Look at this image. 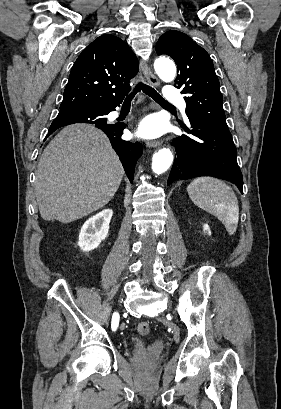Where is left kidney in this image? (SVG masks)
<instances>
[{"mask_svg":"<svg viewBox=\"0 0 281 409\" xmlns=\"http://www.w3.org/2000/svg\"><path fill=\"white\" fill-rule=\"evenodd\" d=\"M203 231H205V233H207V235H211V231L209 229V225H203Z\"/></svg>","mask_w":281,"mask_h":409,"instance_id":"5707ae66","label":"left kidney"}]
</instances>
